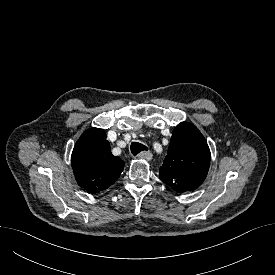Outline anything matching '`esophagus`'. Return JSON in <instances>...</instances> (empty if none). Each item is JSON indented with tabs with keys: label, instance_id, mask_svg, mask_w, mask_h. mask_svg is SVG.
<instances>
[{
	"label": "esophagus",
	"instance_id": "34e87169",
	"mask_svg": "<svg viewBox=\"0 0 275 275\" xmlns=\"http://www.w3.org/2000/svg\"><path fill=\"white\" fill-rule=\"evenodd\" d=\"M152 153L150 151H142L141 153H139L138 157L140 159H145L147 161H150L152 159Z\"/></svg>",
	"mask_w": 275,
	"mask_h": 275
}]
</instances>
